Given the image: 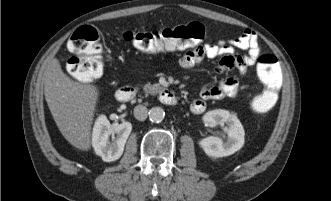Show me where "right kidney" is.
I'll use <instances>...</instances> for the list:
<instances>
[{"label": "right kidney", "instance_id": "right-kidney-1", "mask_svg": "<svg viewBox=\"0 0 331 201\" xmlns=\"http://www.w3.org/2000/svg\"><path fill=\"white\" fill-rule=\"evenodd\" d=\"M131 130L130 122L111 125L105 115H100L95 122L92 134V145L96 154L105 162L119 159ZM110 136H112L111 140Z\"/></svg>", "mask_w": 331, "mask_h": 201}]
</instances>
